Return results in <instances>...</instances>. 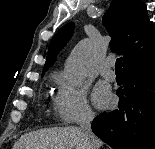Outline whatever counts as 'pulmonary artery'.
<instances>
[{"label":"pulmonary artery","instance_id":"e3ab8cb5","mask_svg":"<svg viewBox=\"0 0 155 149\" xmlns=\"http://www.w3.org/2000/svg\"><path fill=\"white\" fill-rule=\"evenodd\" d=\"M113 66H114V59L112 57H109L106 59L101 68V75L110 81H114L116 78L115 71L112 69Z\"/></svg>","mask_w":155,"mask_h":149}]
</instances>
